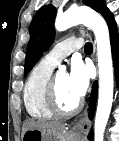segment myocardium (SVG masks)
Wrapping results in <instances>:
<instances>
[{"label": "myocardium", "mask_w": 119, "mask_h": 141, "mask_svg": "<svg viewBox=\"0 0 119 141\" xmlns=\"http://www.w3.org/2000/svg\"><path fill=\"white\" fill-rule=\"evenodd\" d=\"M56 75H51L45 91V102L53 115L60 117H69L76 114L82 106V101L79 100L77 104L71 109H64L61 107L57 97V84H56Z\"/></svg>", "instance_id": "1"}]
</instances>
